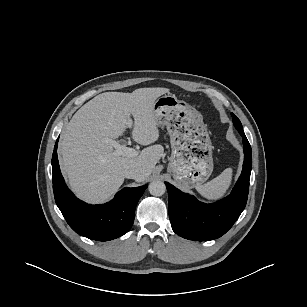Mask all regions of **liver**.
Returning a JSON list of instances; mask_svg holds the SVG:
<instances>
[{
	"label": "liver",
	"mask_w": 307,
	"mask_h": 307,
	"mask_svg": "<svg viewBox=\"0 0 307 307\" xmlns=\"http://www.w3.org/2000/svg\"><path fill=\"white\" fill-rule=\"evenodd\" d=\"M167 88H139L132 93L105 92L84 104L65 126L59 143V162L72 191L89 203L111 198L124 182L123 171L136 169L145 181L163 155L162 145L144 148L136 157L116 155L105 139H116L134 118L132 137L147 146L159 138L153 105Z\"/></svg>",
	"instance_id": "obj_1"
}]
</instances>
